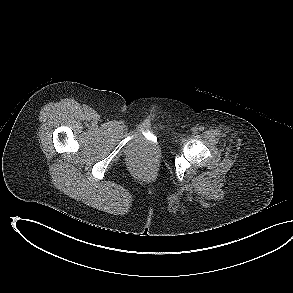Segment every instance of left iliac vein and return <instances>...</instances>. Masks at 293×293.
<instances>
[{
    "instance_id": "1",
    "label": "left iliac vein",
    "mask_w": 293,
    "mask_h": 293,
    "mask_svg": "<svg viewBox=\"0 0 293 293\" xmlns=\"http://www.w3.org/2000/svg\"><path fill=\"white\" fill-rule=\"evenodd\" d=\"M197 131H198V128H197V127H193V128H192V132H193L194 134H196Z\"/></svg>"
}]
</instances>
